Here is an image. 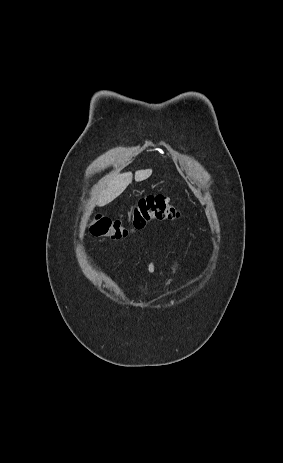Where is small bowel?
<instances>
[{"instance_id": "obj_1", "label": "small bowel", "mask_w": 283, "mask_h": 463, "mask_svg": "<svg viewBox=\"0 0 283 463\" xmlns=\"http://www.w3.org/2000/svg\"><path fill=\"white\" fill-rule=\"evenodd\" d=\"M177 270H178V262L175 260L173 262V265H172V271H171V276L167 279V281L165 282V286H168L175 274L177 273ZM148 273L150 274V276H156V284H160L162 283L163 279H164V276H165V271L163 269H157L156 266L153 264V263H150L149 266H148Z\"/></svg>"}]
</instances>
